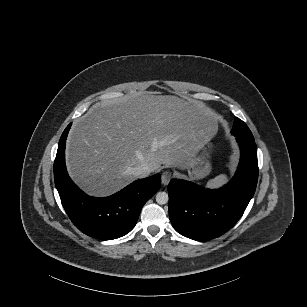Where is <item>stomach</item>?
Returning a JSON list of instances; mask_svg holds the SVG:
<instances>
[{"label":"stomach","instance_id":"0dacf381","mask_svg":"<svg viewBox=\"0 0 307 307\" xmlns=\"http://www.w3.org/2000/svg\"><path fill=\"white\" fill-rule=\"evenodd\" d=\"M211 148L210 142H201L194 154L192 161L188 165L189 176L192 179H202L211 171V164L208 160Z\"/></svg>","mask_w":307,"mask_h":307}]
</instances>
